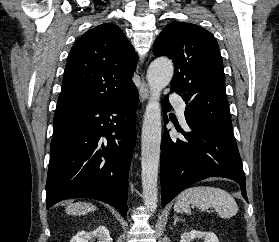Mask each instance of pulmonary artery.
<instances>
[{
  "mask_svg": "<svg viewBox=\"0 0 279 242\" xmlns=\"http://www.w3.org/2000/svg\"><path fill=\"white\" fill-rule=\"evenodd\" d=\"M170 101H171L172 105L174 106L179 118L184 120L186 105H185V102L183 101V99L178 95L172 94V95H170Z\"/></svg>",
  "mask_w": 279,
  "mask_h": 242,
  "instance_id": "1",
  "label": "pulmonary artery"
}]
</instances>
